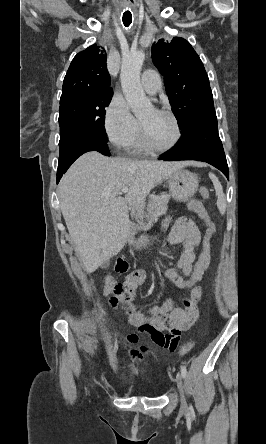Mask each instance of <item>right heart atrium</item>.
I'll use <instances>...</instances> for the list:
<instances>
[{
	"instance_id": "obj_1",
	"label": "right heart atrium",
	"mask_w": 266,
	"mask_h": 444,
	"mask_svg": "<svg viewBox=\"0 0 266 444\" xmlns=\"http://www.w3.org/2000/svg\"><path fill=\"white\" fill-rule=\"evenodd\" d=\"M104 130L109 142L118 149L129 148L139 131V121L121 95H114L104 115Z\"/></svg>"
}]
</instances>
